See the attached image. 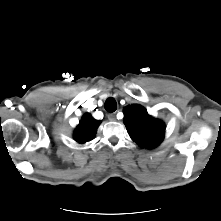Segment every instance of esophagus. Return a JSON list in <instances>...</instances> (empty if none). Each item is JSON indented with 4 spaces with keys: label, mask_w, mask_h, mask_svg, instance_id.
<instances>
[{
    "label": "esophagus",
    "mask_w": 221,
    "mask_h": 221,
    "mask_svg": "<svg viewBox=\"0 0 221 221\" xmlns=\"http://www.w3.org/2000/svg\"><path fill=\"white\" fill-rule=\"evenodd\" d=\"M108 119H109L110 121H115V120H116V115H115V113H110V114H108Z\"/></svg>",
    "instance_id": "obj_1"
}]
</instances>
